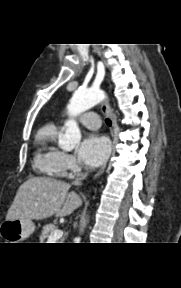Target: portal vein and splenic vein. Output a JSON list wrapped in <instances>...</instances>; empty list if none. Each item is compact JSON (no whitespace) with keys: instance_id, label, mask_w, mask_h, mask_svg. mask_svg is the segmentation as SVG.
<instances>
[{"instance_id":"18ae733b","label":"portal vein and splenic vein","mask_w":181,"mask_h":288,"mask_svg":"<svg viewBox=\"0 0 181 288\" xmlns=\"http://www.w3.org/2000/svg\"><path fill=\"white\" fill-rule=\"evenodd\" d=\"M62 236H63V231L55 230L49 236L48 241H56V240L60 239Z\"/></svg>"}]
</instances>
